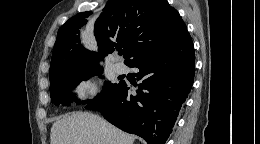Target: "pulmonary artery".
<instances>
[{
	"label": "pulmonary artery",
	"mask_w": 260,
	"mask_h": 144,
	"mask_svg": "<svg viewBox=\"0 0 260 144\" xmlns=\"http://www.w3.org/2000/svg\"><path fill=\"white\" fill-rule=\"evenodd\" d=\"M114 69H115L116 72L122 73V72L125 71L126 68H125V66H124L123 64L116 63V64L114 65Z\"/></svg>",
	"instance_id": "obj_1"
}]
</instances>
